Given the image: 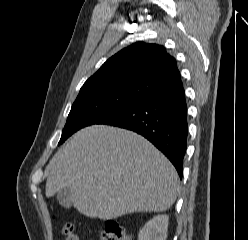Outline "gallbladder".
I'll return each instance as SVG.
<instances>
[{
    "label": "gallbladder",
    "mask_w": 248,
    "mask_h": 240,
    "mask_svg": "<svg viewBox=\"0 0 248 240\" xmlns=\"http://www.w3.org/2000/svg\"><path fill=\"white\" fill-rule=\"evenodd\" d=\"M59 204L64 208H70L72 206L73 192L70 188H65L57 192L56 194Z\"/></svg>",
    "instance_id": "gallbladder-1"
}]
</instances>
